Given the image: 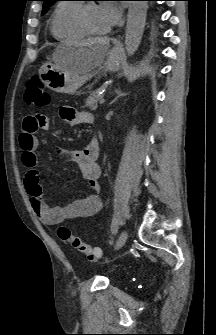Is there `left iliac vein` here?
Instances as JSON below:
<instances>
[{"label":"left iliac vein","instance_id":"4c4485c4","mask_svg":"<svg viewBox=\"0 0 216 335\" xmlns=\"http://www.w3.org/2000/svg\"><path fill=\"white\" fill-rule=\"evenodd\" d=\"M127 238H128V233L127 231H123L121 232L118 240H117V243H116V246H115V249L118 250L120 249L121 247L124 246V244L126 243L127 241Z\"/></svg>","mask_w":216,"mask_h":335}]
</instances>
